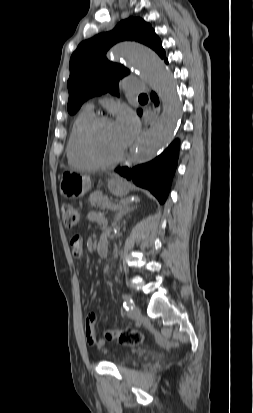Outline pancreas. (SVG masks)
Instances as JSON below:
<instances>
[{
    "label": "pancreas",
    "mask_w": 253,
    "mask_h": 413,
    "mask_svg": "<svg viewBox=\"0 0 253 413\" xmlns=\"http://www.w3.org/2000/svg\"><path fill=\"white\" fill-rule=\"evenodd\" d=\"M89 202L92 206H98L101 209L106 208L104 204L111 203V201L107 197L103 196V193L101 191L93 192L89 197Z\"/></svg>",
    "instance_id": "obj_1"
}]
</instances>
